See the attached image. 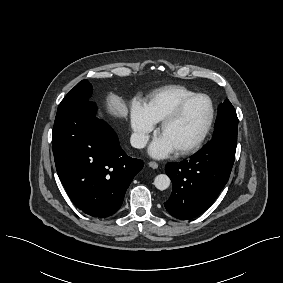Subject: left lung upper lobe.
<instances>
[{
	"instance_id": "left-lung-upper-lobe-1",
	"label": "left lung upper lobe",
	"mask_w": 283,
	"mask_h": 283,
	"mask_svg": "<svg viewBox=\"0 0 283 283\" xmlns=\"http://www.w3.org/2000/svg\"><path fill=\"white\" fill-rule=\"evenodd\" d=\"M238 118L229 100L219 106L214 133L208 144H221L236 151Z\"/></svg>"
}]
</instances>
